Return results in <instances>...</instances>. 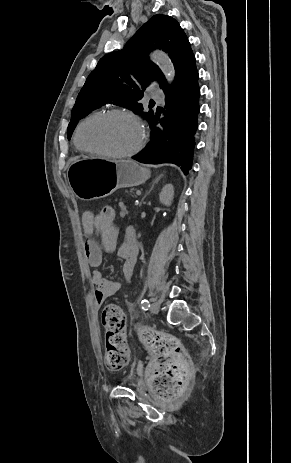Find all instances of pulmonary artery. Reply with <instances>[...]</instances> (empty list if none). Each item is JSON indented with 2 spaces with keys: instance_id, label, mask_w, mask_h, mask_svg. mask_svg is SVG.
Wrapping results in <instances>:
<instances>
[{
  "instance_id": "1",
  "label": "pulmonary artery",
  "mask_w": 291,
  "mask_h": 463,
  "mask_svg": "<svg viewBox=\"0 0 291 463\" xmlns=\"http://www.w3.org/2000/svg\"><path fill=\"white\" fill-rule=\"evenodd\" d=\"M150 95L152 98L157 99V100L163 99V93L160 90H152L150 92Z\"/></svg>"
}]
</instances>
